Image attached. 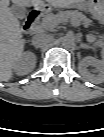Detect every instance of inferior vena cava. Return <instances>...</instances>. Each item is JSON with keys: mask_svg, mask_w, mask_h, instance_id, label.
Wrapping results in <instances>:
<instances>
[{"mask_svg": "<svg viewBox=\"0 0 104 137\" xmlns=\"http://www.w3.org/2000/svg\"><path fill=\"white\" fill-rule=\"evenodd\" d=\"M48 41V36L45 34H36L32 38V45H34L36 48L43 47Z\"/></svg>", "mask_w": 104, "mask_h": 137, "instance_id": "1", "label": "inferior vena cava"}]
</instances>
